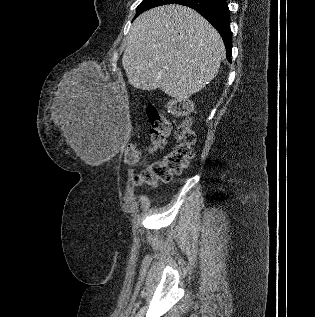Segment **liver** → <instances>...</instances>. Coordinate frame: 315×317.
<instances>
[{
    "label": "liver",
    "instance_id": "liver-1",
    "mask_svg": "<svg viewBox=\"0 0 315 317\" xmlns=\"http://www.w3.org/2000/svg\"><path fill=\"white\" fill-rule=\"evenodd\" d=\"M224 57L222 38L210 23L193 9L173 4L135 19L122 64L133 87L160 88L177 100H186L216 77ZM56 104V123L70 147L84 158L83 121L69 88H60Z\"/></svg>",
    "mask_w": 315,
    "mask_h": 317
}]
</instances>
